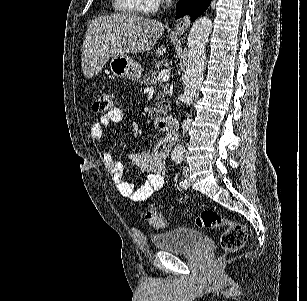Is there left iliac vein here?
<instances>
[{
    "mask_svg": "<svg viewBox=\"0 0 307 301\" xmlns=\"http://www.w3.org/2000/svg\"><path fill=\"white\" fill-rule=\"evenodd\" d=\"M183 174L185 176V178L187 179V185H186V188L189 187V170H188V167H184L183 168Z\"/></svg>",
    "mask_w": 307,
    "mask_h": 301,
    "instance_id": "1",
    "label": "left iliac vein"
}]
</instances>
